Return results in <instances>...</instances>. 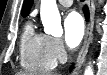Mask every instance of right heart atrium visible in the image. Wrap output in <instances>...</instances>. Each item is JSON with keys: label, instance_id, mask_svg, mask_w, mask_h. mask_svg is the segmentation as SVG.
Wrapping results in <instances>:
<instances>
[{"label": "right heart atrium", "instance_id": "right-heart-atrium-1", "mask_svg": "<svg viewBox=\"0 0 107 75\" xmlns=\"http://www.w3.org/2000/svg\"><path fill=\"white\" fill-rule=\"evenodd\" d=\"M49 47L56 62H62L65 60L66 49L61 39L49 37Z\"/></svg>", "mask_w": 107, "mask_h": 75}]
</instances>
